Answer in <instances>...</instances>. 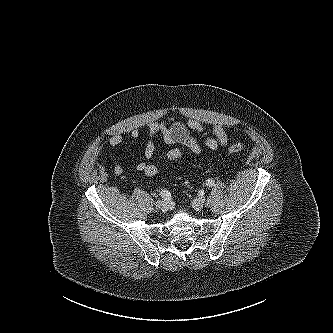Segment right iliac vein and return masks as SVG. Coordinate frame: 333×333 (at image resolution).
Here are the masks:
<instances>
[{"instance_id": "right-iliac-vein-1", "label": "right iliac vein", "mask_w": 333, "mask_h": 333, "mask_svg": "<svg viewBox=\"0 0 333 333\" xmlns=\"http://www.w3.org/2000/svg\"><path fill=\"white\" fill-rule=\"evenodd\" d=\"M168 206V202L165 199H161L156 202V207L161 211H166L168 209Z\"/></svg>"}]
</instances>
